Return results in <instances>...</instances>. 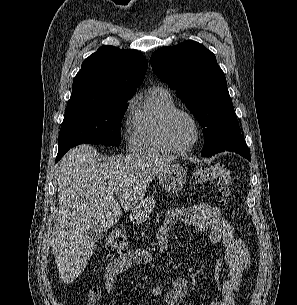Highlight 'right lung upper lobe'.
Masks as SVG:
<instances>
[{"mask_svg":"<svg viewBox=\"0 0 297 305\" xmlns=\"http://www.w3.org/2000/svg\"><path fill=\"white\" fill-rule=\"evenodd\" d=\"M147 67L146 58L137 50L102 46L82 63L67 105L133 96Z\"/></svg>","mask_w":297,"mask_h":305,"instance_id":"1","label":"right lung upper lobe"}]
</instances>
